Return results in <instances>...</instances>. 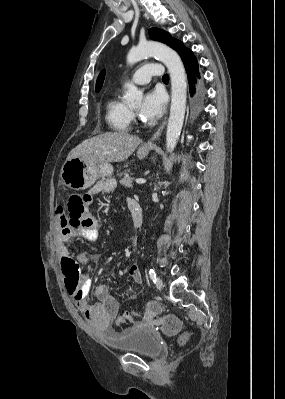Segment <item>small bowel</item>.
<instances>
[{
  "label": "small bowel",
  "mask_w": 285,
  "mask_h": 399,
  "mask_svg": "<svg viewBox=\"0 0 285 399\" xmlns=\"http://www.w3.org/2000/svg\"><path fill=\"white\" fill-rule=\"evenodd\" d=\"M101 186H96L90 190L89 194L94 195L102 191ZM127 205L129 210L134 205H139L138 201H136L132 197L127 198ZM141 207V206H140ZM86 212L88 217L91 220V225L87 231H85L82 236L84 239L88 241H95L98 235V231L100 229V222L92 217L89 212V206L86 205ZM57 213L61 216V207L57 208ZM73 230L67 224L60 225L59 229V241L64 242L73 237ZM59 255L61 258L71 257L70 250L64 247H61L59 250ZM80 263L83 266H86V254L80 253L78 256ZM128 275L130 279L134 282L135 285L141 286L143 284V277L138 268V266L133 265L130 267ZM91 281L88 276H84L82 283L77 288L74 295H71V298L75 301L76 306L82 313L84 319L95 329L104 330L108 328L112 322L117 318L119 312V303L116 298L110 292L108 286L103 282H98L95 284L94 290L95 295L98 299V303L90 304L87 302V292L90 289ZM81 288V297L79 299L76 298L77 292ZM147 320H143L140 322V325L146 323Z\"/></svg>",
  "instance_id": "small-bowel-1"
}]
</instances>
